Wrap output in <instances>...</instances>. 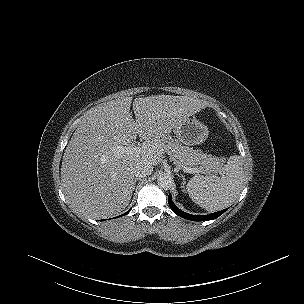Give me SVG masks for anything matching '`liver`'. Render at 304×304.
<instances>
[{"label": "liver", "mask_w": 304, "mask_h": 304, "mask_svg": "<svg viewBox=\"0 0 304 304\" xmlns=\"http://www.w3.org/2000/svg\"><path fill=\"white\" fill-rule=\"evenodd\" d=\"M99 104L88 110L63 155L61 182L71 208L98 219L123 211L135 188L134 167L140 162L157 165L165 153L170 132L179 123L206 107L188 96L153 95ZM139 136V149L120 153Z\"/></svg>", "instance_id": "liver-1"}]
</instances>
